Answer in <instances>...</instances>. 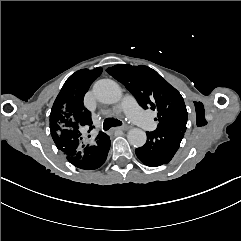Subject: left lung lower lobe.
Listing matches in <instances>:
<instances>
[{
	"mask_svg": "<svg viewBox=\"0 0 241 241\" xmlns=\"http://www.w3.org/2000/svg\"><path fill=\"white\" fill-rule=\"evenodd\" d=\"M186 131V123L181 126H166L146 132L147 141L137 148V157L147 166L157 167L168 163L178 150Z\"/></svg>",
	"mask_w": 241,
	"mask_h": 241,
	"instance_id": "1",
	"label": "left lung lower lobe"
}]
</instances>
